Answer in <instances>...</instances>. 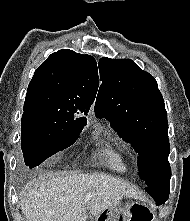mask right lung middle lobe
Instances as JSON below:
<instances>
[{"label":"right lung middle lobe","mask_w":190,"mask_h":221,"mask_svg":"<svg viewBox=\"0 0 190 221\" xmlns=\"http://www.w3.org/2000/svg\"><path fill=\"white\" fill-rule=\"evenodd\" d=\"M86 122V118L61 113H23L21 148L26 166H38L48 157L74 144Z\"/></svg>","instance_id":"obj_1"}]
</instances>
